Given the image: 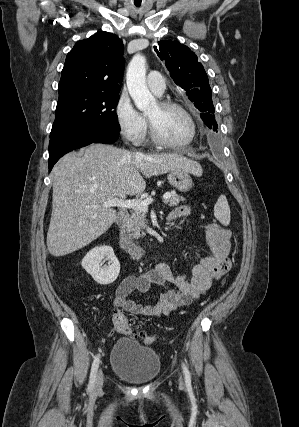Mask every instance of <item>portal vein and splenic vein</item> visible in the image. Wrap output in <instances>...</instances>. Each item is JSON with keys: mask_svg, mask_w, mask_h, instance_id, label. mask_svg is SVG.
<instances>
[{"mask_svg": "<svg viewBox=\"0 0 299 427\" xmlns=\"http://www.w3.org/2000/svg\"><path fill=\"white\" fill-rule=\"evenodd\" d=\"M171 197L170 193H166L163 195V199L167 200ZM153 202L152 198L146 199V200H138V199H132V200H121L118 198H114L111 200H108L104 202V207H120V208H131L134 210H140V211H148V205Z\"/></svg>", "mask_w": 299, "mask_h": 427, "instance_id": "18ae733b", "label": "portal vein and splenic vein"}]
</instances>
